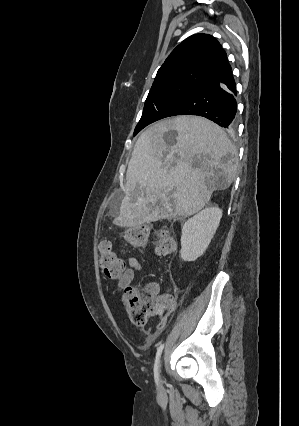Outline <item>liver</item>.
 Masks as SVG:
<instances>
[{
	"mask_svg": "<svg viewBox=\"0 0 299 426\" xmlns=\"http://www.w3.org/2000/svg\"><path fill=\"white\" fill-rule=\"evenodd\" d=\"M168 131L177 133L173 143L164 138ZM236 154L225 131L204 117L177 116L151 125L134 145L114 224L133 228L197 213L213 191L235 179Z\"/></svg>",
	"mask_w": 299,
	"mask_h": 426,
	"instance_id": "obj_1",
	"label": "liver"
}]
</instances>
